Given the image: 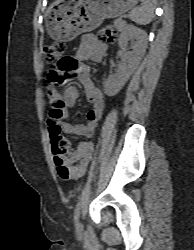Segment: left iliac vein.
Listing matches in <instances>:
<instances>
[{
	"instance_id": "4c4485c4",
	"label": "left iliac vein",
	"mask_w": 194,
	"mask_h": 250,
	"mask_svg": "<svg viewBox=\"0 0 194 250\" xmlns=\"http://www.w3.org/2000/svg\"><path fill=\"white\" fill-rule=\"evenodd\" d=\"M81 227H82L81 222H80V221H79V222H77L76 229H77V230H80V229H81Z\"/></svg>"
}]
</instances>
